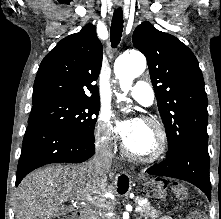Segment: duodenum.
Returning <instances> with one entry per match:
<instances>
[{
    "mask_svg": "<svg viewBox=\"0 0 221 219\" xmlns=\"http://www.w3.org/2000/svg\"><path fill=\"white\" fill-rule=\"evenodd\" d=\"M68 219H84V213L82 210H79L70 215Z\"/></svg>",
    "mask_w": 221,
    "mask_h": 219,
    "instance_id": "1",
    "label": "duodenum"
}]
</instances>
